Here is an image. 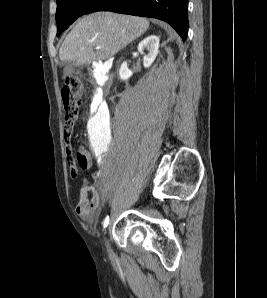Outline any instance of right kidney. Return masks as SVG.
I'll use <instances>...</instances> for the list:
<instances>
[{
  "label": "right kidney",
  "mask_w": 267,
  "mask_h": 298,
  "mask_svg": "<svg viewBox=\"0 0 267 298\" xmlns=\"http://www.w3.org/2000/svg\"><path fill=\"white\" fill-rule=\"evenodd\" d=\"M144 49L148 51V54L143 57V65L145 68H148L152 65L158 54L159 37L150 35L142 40L138 45V51L142 54ZM119 76L121 80H127L132 76V71L128 69L127 62L121 64Z\"/></svg>",
  "instance_id": "1"
}]
</instances>
